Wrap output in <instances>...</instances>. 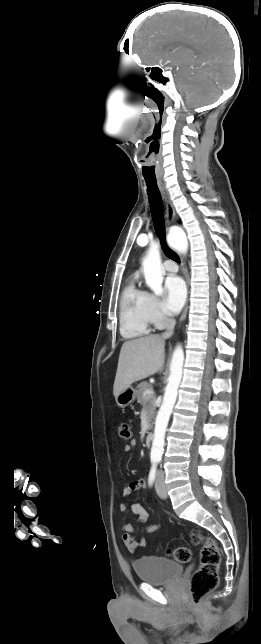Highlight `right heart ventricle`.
Masks as SVG:
<instances>
[{"label": "right heart ventricle", "instance_id": "right-heart-ventricle-1", "mask_svg": "<svg viewBox=\"0 0 261 644\" xmlns=\"http://www.w3.org/2000/svg\"><path fill=\"white\" fill-rule=\"evenodd\" d=\"M149 299L150 296L136 286L135 280L124 288L120 303V332L124 337L137 338L151 332Z\"/></svg>", "mask_w": 261, "mask_h": 644}]
</instances>
